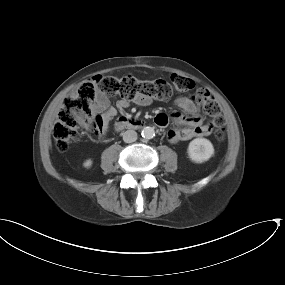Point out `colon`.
<instances>
[{
	"label": "colon",
	"mask_w": 285,
	"mask_h": 285,
	"mask_svg": "<svg viewBox=\"0 0 285 285\" xmlns=\"http://www.w3.org/2000/svg\"><path fill=\"white\" fill-rule=\"evenodd\" d=\"M194 87L195 83L192 79L178 74L171 75L170 82L164 79L141 81L130 75L122 77L95 76L79 85L75 92L63 102L54 126L56 146L60 151L67 150L69 144L77 137L78 132L86 126L97 92L117 93L127 100L140 96L163 100L171 97L174 91L186 92ZM194 101L203 109L205 114L214 120L202 133L211 134L216 140L223 141L225 131L222 127L221 108L218 102L203 88L197 90ZM154 122L163 127L167 124L168 118L165 114H158ZM92 133L95 137L101 135L102 128L99 123L93 125Z\"/></svg>",
	"instance_id": "1"
}]
</instances>
